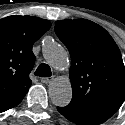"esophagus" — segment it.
Listing matches in <instances>:
<instances>
[{
    "label": "esophagus",
    "instance_id": "obj_1",
    "mask_svg": "<svg viewBox=\"0 0 125 125\" xmlns=\"http://www.w3.org/2000/svg\"><path fill=\"white\" fill-rule=\"evenodd\" d=\"M53 80H54L53 77H42V78L40 79V81H41L42 83H45V84H49V83H51Z\"/></svg>",
    "mask_w": 125,
    "mask_h": 125
}]
</instances>
